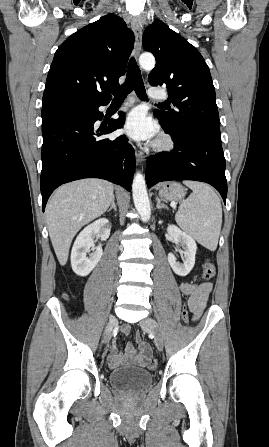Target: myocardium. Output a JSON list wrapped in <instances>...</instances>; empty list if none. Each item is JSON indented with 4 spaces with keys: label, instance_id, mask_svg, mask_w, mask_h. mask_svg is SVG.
<instances>
[{
    "label": "myocardium",
    "instance_id": "f54148a6",
    "mask_svg": "<svg viewBox=\"0 0 269 447\" xmlns=\"http://www.w3.org/2000/svg\"><path fill=\"white\" fill-rule=\"evenodd\" d=\"M153 150L157 153H165L174 147V140L168 133H162L152 145Z\"/></svg>",
    "mask_w": 269,
    "mask_h": 447
}]
</instances>
